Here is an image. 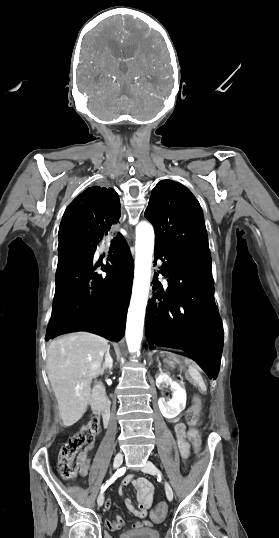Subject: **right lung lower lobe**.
<instances>
[{
	"instance_id": "obj_1",
	"label": "right lung lower lobe",
	"mask_w": 279,
	"mask_h": 538,
	"mask_svg": "<svg viewBox=\"0 0 279 538\" xmlns=\"http://www.w3.org/2000/svg\"><path fill=\"white\" fill-rule=\"evenodd\" d=\"M120 215L118 194L99 186L87 188L65 210L46 339L88 330L113 340L123 337L134 263L117 230ZM106 239L111 243L109 262L102 265L105 273H100L95 271L93 255L97 244Z\"/></svg>"
}]
</instances>
